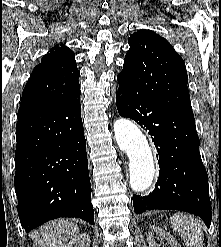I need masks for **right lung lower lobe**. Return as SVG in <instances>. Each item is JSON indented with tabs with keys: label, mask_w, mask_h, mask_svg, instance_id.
I'll use <instances>...</instances> for the list:
<instances>
[{
	"label": "right lung lower lobe",
	"mask_w": 221,
	"mask_h": 247,
	"mask_svg": "<svg viewBox=\"0 0 221 247\" xmlns=\"http://www.w3.org/2000/svg\"><path fill=\"white\" fill-rule=\"evenodd\" d=\"M15 190L26 232L59 217L94 223L80 91L18 114Z\"/></svg>",
	"instance_id": "1"
}]
</instances>
